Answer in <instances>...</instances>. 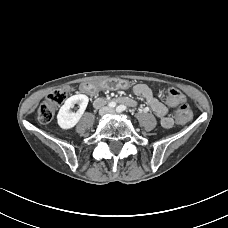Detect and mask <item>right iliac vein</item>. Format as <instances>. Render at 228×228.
I'll use <instances>...</instances> for the list:
<instances>
[{
	"label": "right iliac vein",
	"mask_w": 228,
	"mask_h": 228,
	"mask_svg": "<svg viewBox=\"0 0 228 228\" xmlns=\"http://www.w3.org/2000/svg\"><path fill=\"white\" fill-rule=\"evenodd\" d=\"M108 111H109V109L106 108V107H104V108L100 109L99 114H100L101 116H103V115H105Z\"/></svg>",
	"instance_id": "63e3f726"
}]
</instances>
